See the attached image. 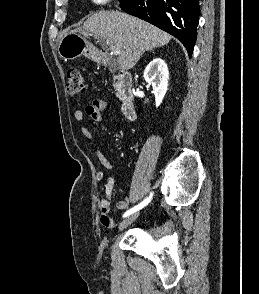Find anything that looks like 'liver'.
<instances>
[{
	"label": "liver",
	"mask_w": 259,
	"mask_h": 294,
	"mask_svg": "<svg viewBox=\"0 0 259 294\" xmlns=\"http://www.w3.org/2000/svg\"><path fill=\"white\" fill-rule=\"evenodd\" d=\"M75 31L91 34L106 45L118 48L117 63L122 70L132 69L144 52L166 45L171 40V35L165 31L118 11L93 13Z\"/></svg>",
	"instance_id": "obj_1"
}]
</instances>
